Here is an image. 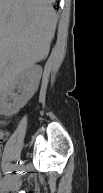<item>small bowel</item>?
<instances>
[{"label":"small bowel","mask_w":103,"mask_h":193,"mask_svg":"<svg viewBox=\"0 0 103 193\" xmlns=\"http://www.w3.org/2000/svg\"><path fill=\"white\" fill-rule=\"evenodd\" d=\"M5 135H6V133H3L2 137H4ZM9 178H10V175L8 174L4 178H2V180H1V188H2V186H4V190H6V191H8L9 189L11 190L12 187L9 183L11 180H13L15 178V176L12 179L11 178L9 179ZM7 185H10V186L7 187ZM20 193H22V192H20ZM23 193H26V192H23Z\"/></svg>","instance_id":"obj_1"}]
</instances>
